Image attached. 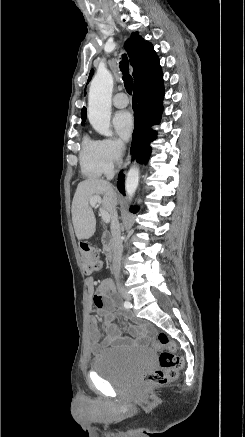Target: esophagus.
<instances>
[{"mask_svg": "<svg viewBox=\"0 0 245 437\" xmlns=\"http://www.w3.org/2000/svg\"><path fill=\"white\" fill-rule=\"evenodd\" d=\"M130 159H131V155H128V157H127V159H126V161L124 163V166H123L124 168L129 164Z\"/></svg>", "mask_w": 245, "mask_h": 437, "instance_id": "1", "label": "esophagus"}]
</instances>
